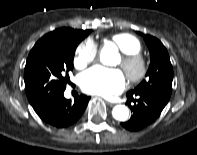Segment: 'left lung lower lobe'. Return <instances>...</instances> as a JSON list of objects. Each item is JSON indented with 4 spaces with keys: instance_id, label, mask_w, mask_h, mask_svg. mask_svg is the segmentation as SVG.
<instances>
[{
    "instance_id": "0a47b994",
    "label": "left lung lower lobe",
    "mask_w": 197,
    "mask_h": 155,
    "mask_svg": "<svg viewBox=\"0 0 197 155\" xmlns=\"http://www.w3.org/2000/svg\"><path fill=\"white\" fill-rule=\"evenodd\" d=\"M126 96L129 102H134L133 106L130 105L133 115L130 120L121 123V125L130 131H138L151 124L159 117L167 104L158 97L146 94L127 93ZM134 96H137L136 100L133 99Z\"/></svg>"
}]
</instances>
